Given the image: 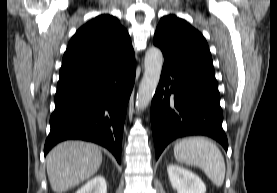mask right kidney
Here are the masks:
<instances>
[{
    "label": "right kidney",
    "mask_w": 277,
    "mask_h": 193,
    "mask_svg": "<svg viewBox=\"0 0 277 193\" xmlns=\"http://www.w3.org/2000/svg\"><path fill=\"white\" fill-rule=\"evenodd\" d=\"M75 193H107V184L103 176H96Z\"/></svg>",
    "instance_id": "1"
}]
</instances>
